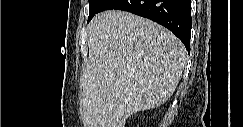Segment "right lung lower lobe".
<instances>
[{"mask_svg": "<svg viewBox=\"0 0 243 127\" xmlns=\"http://www.w3.org/2000/svg\"><path fill=\"white\" fill-rule=\"evenodd\" d=\"M109 9L128 11L161 24L190 52L191 0H106L97 13Z\"/></svg>", "mask_w": 243, "mask_h": 127, "instance_id": "98d812e1", "label": "right lung lower lobe"}]
</instances>
